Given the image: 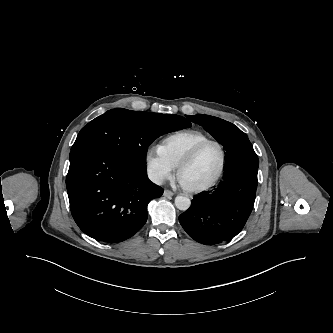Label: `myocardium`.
I'll return each mask as SVG.
<instances>
[{
	"instance_id": "f54148a6",
	"label": "myocardium",
	"mask_w": 333,
	"mask_h": 333,
	"mask_svg": "<svg viewBox=\"0 0 333 333\" xmlns=\"http://www.w3.org/2000/svg\"><path fill=\"white\" fill-rule=\"evenodd\" d=\"M209 145H214L219 149L220 152V163H219V167L215 173V175L205 184L200 185V186H195V187H189L184 185L181 180H180V176L182 171L189 166L195 159L196 157L199 155V153L207 146ZM225 163H226V152L225 149L223 147V145L216 141V140H205L199 144H197L179 163V165L177 166V177L180 180L182 187L190 193H200V192H204L210 188H212L221 178L224 168H225Z\"/></svg>"
}]
</instances>
